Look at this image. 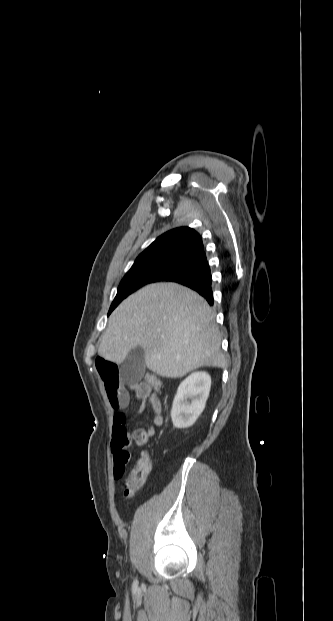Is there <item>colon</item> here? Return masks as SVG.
Masks as SVG:
<instances>
[{
	"mask_svg": "<svg viewBox=\"0 0 333 621\" xmlns=\"http://www.w3.org/2000/svg\"><path fill=\"white\" fill-rule=\"evenodd\" d=\"M145 380L154 391H160L162 382L157 375L150 373L146 376ZM150 470V457L146 452L142 453L124 481V497L126 499L131 498L136 493V491L142 487L149 475ZM123 475V470L114 471L115 479H121Z\"/></svg>",
	"mask_w": 333,
	"mask_h": 621,
	"instance_id": "obj_1",
	"label": "colon"
}]
</instances>
